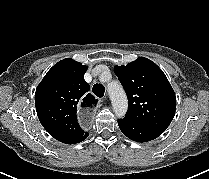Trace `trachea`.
<instances>
[{
	"instance_id": "3493384b",
	"label": "trachea",
	"mask_w": 209,
	"mask_h": 179,
	"mask_svg": "<svg viewBox=\"0 0 209 179\" xmlns=\"http://www.w3.org/2000/svg\"><path fill=\"white\" fill-rule=\"evenodd\" d=\"M92 90L96 96L100 98L104 96L105 88L102 84H95Z\"/></svg>"
}]
</instances>
